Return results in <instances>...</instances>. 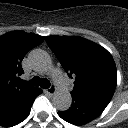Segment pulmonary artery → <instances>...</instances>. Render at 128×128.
Here are the masks:
<instances>
[{"label": "pulmonary artery", "mask_w": 128, "mask_h": 128, "mask_svg": "<svg viewBox=\"0 0 128 128\" xmlns=\"http://www.w3.org/2000/svg\"><path fill=\"white\" fill-rule=\"evenodd\" d=\"M54 80H55V84L58 87H60L62 89H66L68 87L69 82L63 76L57 75V76H55Z\"/></svg>", "instance_id": "obj_1"}]
</instances>
